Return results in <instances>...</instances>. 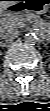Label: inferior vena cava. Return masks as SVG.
Listing matches in <instances>:
<instances>
[{
	"instance_id": "1",
	"label": "inferior vena cava",
	"mask_w": 50,
	"mask_h": 111,
	"mask_svg": "<svg viewBox=\"0 0 50 111\" xmlns=\"http://www.w3.org/2000/svg\"><path fill=\"white\" fill-rule=\"evenodd\" d=\"M18 36H19V31L14 29L7 30L3 32L1 35L2 39H4L5 41H12L16 39Z\"/></svg>"
}]
</instances>
